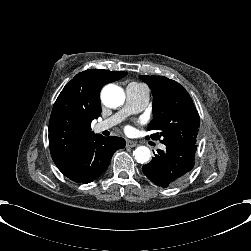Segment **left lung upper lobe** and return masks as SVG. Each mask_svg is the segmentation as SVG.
Returning <instances> with one entry per match:
<instances>
[{"label":"left lung upper lobe","instance_id":"obj_1","mask_svg":"<svg viewBox=\"0 0 251 251\" xmlns=\"http://www.w3.org/2000/svg\"><path fill=\"white\" fill-rule=\"evenodd\" d=\"M153 94V120L148 130L153 139L162 138L166 146L196 145L199 114L191 97L178 82L164 76H139Z\"/></svg>","mask_w":251,"mask_h":251}]
</instances>
